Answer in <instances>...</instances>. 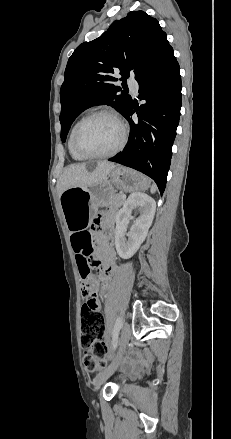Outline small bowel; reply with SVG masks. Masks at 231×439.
<instances>
[{
	"label": "small bowel",
	"mask_w": 231,
	"mask_h": 439,
	"mask_svg": "<svg viewBox=\"0 0 231 439\" xmlns=\"http://www.w3.org/2000/svg\"><path fill=\"white\" fill-rule=\"evenodd\" d=\"M111 216H108V220ZM110 235L112 231L110 230ZM71 246L75 255L76 264L81 271L88 265L93 255L100 260L99 267V293L102 294L109 286L110 278L115 270L116 254L112 243L104 237H98L94 242L92 234L87 230H75L71 233ZM93 281L88 279L87 282ZM95 284V282H94ZM83 294L87 297V304L90 308L100 311L101 304L97 296V290H86L83 285ZM82 306V307H83Z\"/></svg>",
	"instance_id": "1"
}]
</instances>
